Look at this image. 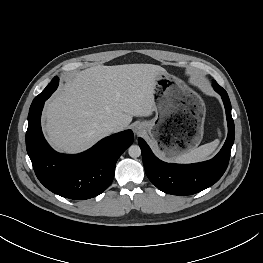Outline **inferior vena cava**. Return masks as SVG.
Segmentation results:
<instances>
[{
    "label": "inferior vena cava",
    "mask_w": 263,
    "mask_h": 263,
    "mask_svg": "<svg viewBox=\"0 0 263 263\" xmlns=\"http://www.w3.org/2000/svg\"><path fill=\"white\" fill-rule=\"evenodd\" d=\"M105 127L109 132H117L120 130V125L116 121L108 122L105 124Z\"/></svg>",
    "instance_id": "1"
}]
</instances>
